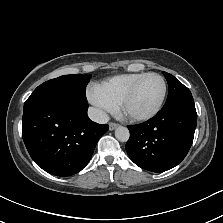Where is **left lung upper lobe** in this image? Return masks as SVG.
Segmentation results:
<instances>
[{
  "mask_svg": "<svg viewBox=\"0 0 223 223\" xmlns=\"http://www.w3.org/2000/svg\"><path fill=\"white\" fill-rule=\"evenodd\" d=\"M163 74L169 85L167 101L163 108L174 106H195L189 89L171 74L167 72H163Z\"/></svg>",
  "mask_w": 223,
  "mask_h": 223,
  "instance_id": "5c2ea615",
  "label": "left lung upper lobe"
}]
</instances>
